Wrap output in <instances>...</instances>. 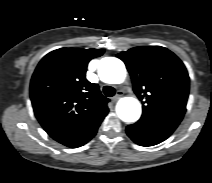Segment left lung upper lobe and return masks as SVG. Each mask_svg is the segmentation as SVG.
I'll use <instances>...</instances> for the list:
<instances>
[{
	"label": "left lung upper lobe",
	"instance_id": "1",
	"mask_svg": "<svg viewBox=\"0 0 212 183\" xmlns=\"http://www.w3.org/2000/svg\"><path fill=\"white\" fill-rule=\"evenodd\" d=\"M131 75L134 92L145 98L140 122L175 130L189 94V76L182 61L161 46H141L117 54Z\"/></svg>",
	"mask_w": 212,
	"mask_h": 183
}]
</instances>
